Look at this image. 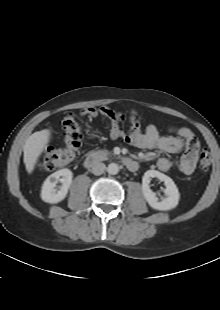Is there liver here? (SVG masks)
Instances as JSON below:
<instances>
[{
	"mask_svg": "<svg viewBox=\"0 0 220 310\" xmlns=\"http://www.w3.org/2000/svg\"><path fill=\"white\" fill-rule=\"evenodd\" d=\"M51 130L44 129L37 131L29 136L23 147L24 152V164L26 171L31 174L35 169V165L38 162L39 157L43 153L47 144L50 141Z\"/></svg>",
	"mask_w": 220,
	"mask_h": 310,
	"instance_id": "6515ba94",
	"label": "liver"
}]
</instances>
